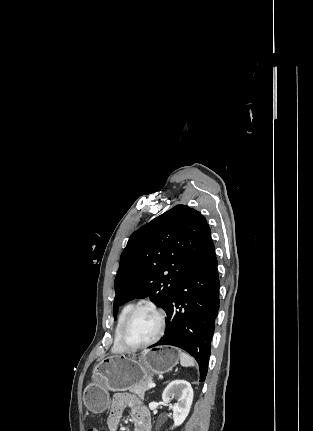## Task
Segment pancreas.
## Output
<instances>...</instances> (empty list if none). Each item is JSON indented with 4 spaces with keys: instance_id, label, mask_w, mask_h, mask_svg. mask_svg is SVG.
Returning a JSON list of instances; mask_svg holds the SVG:
<instances>
[{
    "instance_id": "pancreas-1",
    "label": "pancreas",
    "mask_w": 313,
    "mask_h": 431,
    "mask_svg": "<svg viewBox=\"0 0 313 431\" xmlns=\"http://www.w3.org/2000/svg\"><path fill=\"white\" fill-rule=\"evenodd\" d=\"M151 381L149 378L147 381L142 382L141 384H136L128 388V390L134 394H136L139 398L143 399L145 392L149 389L147 384Z\"/></svg>"
}]
</instances>
